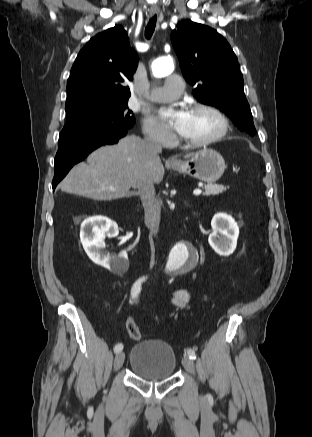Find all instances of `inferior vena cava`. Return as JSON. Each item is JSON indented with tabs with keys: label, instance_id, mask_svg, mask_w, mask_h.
Instances as JSON below:
<instances>
[{
	"label": "inferior vena cava",
	"instance_id": "602c4592",
	"mask_svg": "<svg viewBox=\"0 0 312 437\" xmlns=\"http://www.w3.org/2000/svg\"><path fill=\"white\" fill-rule=\"evenodd\" d=\"M147 141H151L146 138ZM153 150L161 152L162 148L159 144L152 142ZM138 194L141 197L145 209V222L150 230V235L156 236L159 231V224L161 218V206L158 201L152 202L151 197L155 194L154 186L147 187L140 181L137 182Z\"/></svg>",
	"mask_w": 312,
	"mask_h": 437
}]
</instances>
